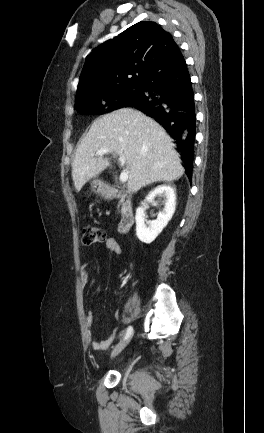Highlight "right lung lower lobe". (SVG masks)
Instances as JSON below:
<instances>
[{
	"instance_id": "obj_1",
	"label": "right lung lower lobe",
	"mask_w": 264,
	"mask_h": 433,
	"mask_svg": "<svg viewBox=\"0 0 264 433\" xmlns=\"http://www.w3.org/2000/svg\"><path fill=\"white\" fill-rule=\"evenodd\" d=\"M140 93L122 107H131L154 118L178 145L191 180L196 134L194 93L187 65L177 51L140 82Z\"/></svg>"
}]
</instances>
